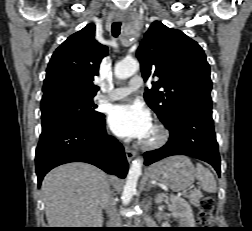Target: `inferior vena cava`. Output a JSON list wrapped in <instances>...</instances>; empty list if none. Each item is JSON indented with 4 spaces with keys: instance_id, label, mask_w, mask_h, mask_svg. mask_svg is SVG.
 <instances>
[{
    "instance_id": "inferior-vena-cava-1",
    "label": "inferior vena cava",
    "mask_w": 252,
    "mask_h": 231,
    "mask_svg": "<svg viewBox=\"0 0 252 231\" xmlns=\"http://www.w3.org/2000/svg\"><path fill=\"white\" fill-rule=\"evenodd\" d=\"M101 201L108 215V225L111 228L119 227L121 224V219L117 214L116 203L109 188H107L103 193Z\"/></svg>"
}]
</instances>
